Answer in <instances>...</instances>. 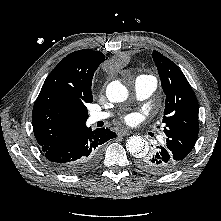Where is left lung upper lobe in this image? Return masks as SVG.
<instances>
[{
	"label": "left lung upper lobe",
	"mask_w": 221,
	"mask_h": 221,
	"mask_svg": "<svg viewBox=\"0 0 221 221\" xmlns=\"http://www.w3.org/2000/svg\"><path fill=\"white\" fill-rule=\"evenodd\" d=\"M163 91L166 95L163 121L166 145L183 163L193 149L199 131L198 101L183 72L170 59L154 51Z\"/></svg>",
	"instance_id": "1"
}]
</instances>
